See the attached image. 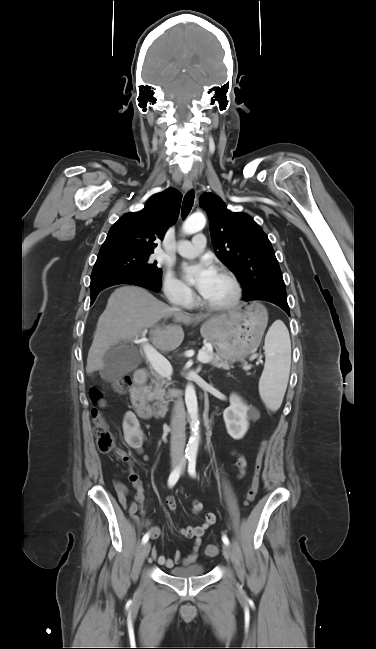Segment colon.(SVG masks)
I'll return each mask as SVG.
<instances>
[{"mask_svg":"<svg viewBox=\"0 0 376 649\" xmlns=\"http://www.w3.org/2000/svg\"><path fill=\"white\" fill-rule=\"evenodd\" d=\"M130 387L131 379L127 375L120 376L111 382V389L115 393L120 395L127 394L130 390ZM90 398L94 404L100 407L104 405V401L99 390L95 389L91 391ZM91 415L94 423L93 431L99 450L104 453L114 452L120 460L130 464L131 460L127 453L116 447L115 437L109 429V426L102 416L101 412L97 408H93ZM264 452V441H262L256 455L254 476L250 488L246 494V503L252 502L258 492L259 477L263 466ZM205 552L208 556H216L219 553V547L215 544H209L207 545Z\"/></svg>","mask_w":376,"mask_h":649,"instance_id":"1","label":"colon"}]
</instances>
